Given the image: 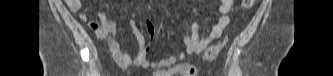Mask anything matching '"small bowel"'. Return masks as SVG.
<instances>
[{
  "instance_id": "small-bowel-1",
  "label": "small bowel",
  "mask_w": 333,
  "mask_h": 76,
  "mask_svg": "<svg viewBox=\"0 0 333 76\" xmlns=\"http://www.w3.org/2000/svg\"><path fill=\"white\" fill-rule=\"evenodd\" d=\"M69 11L76 12L81 9L80 0H66ZM235 2L234 0H222L219 7V16L217 22L208 34L199 33V25L192 22L189 28H186L183 36L184 49L176 54L159 60H148L149 45L144 33L140 30L136 20L129 22V28L134 36V45L138 48L135 58H132L129 51L120 47L118 40V30L115 21L110 20L106 15L99 11L98 19L89 22L90 28L95 31L96 35L105 40L112 54L113 60L118 67L122 69L131 66H140L145 69L154 71L155 76H195L196 69L186 63H181L187 55L199 53L205 50L214 40L219 38L227 28L232 19ZM79 19L87 21V15L84 12L79 14ZM146 27L150 37L156 33V26L151 21H146Z\"/></svg>"
}]
</instances>
